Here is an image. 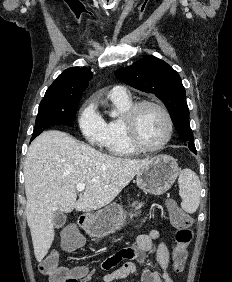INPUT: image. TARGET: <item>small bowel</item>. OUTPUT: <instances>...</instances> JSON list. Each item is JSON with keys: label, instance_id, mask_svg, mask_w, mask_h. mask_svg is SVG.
<instances>
[{"label": "small bowel", "instance_id": "obj_1", "mask_svg": "<svg viewBox=\"0 0 232 282\" xmlns=\"http://www.w3.org/2000/svg\"><path fill=\"white\" fill-rule=\"evenodd\" d=\"M153 248H155L158 270H152L145 264L146 255L150 253ZM52 254L57 256L56 253ZM131 260H137L143 265V269L140 272L141 282H174L169 272V250L158 230H151L147 234L138 235L136 237V246L123 249L103 260L100 264V268L105 271H112L103 275L101 282H114L124 279L129 275H138L139 271L137 266ZM69 272L70 274H75L76 270L73 268L69 270ZM94 273L95 270H87L82 267L79 282L90 281Z\"/></svg>", "mask_w": 232, "mask_h": 282}]
</instances>
